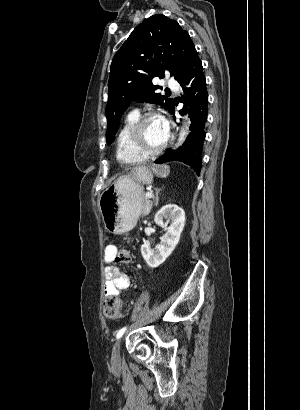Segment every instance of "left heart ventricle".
<instances>
[{"label": "left heart ventricle", "mask_w": 300, "mask_h": 410, "mask_svg": "<svg viewBox=\"0 0 300 410\" xmlns=\"http://www.w3.org/2000/svg\"><path fill=\"white\" fill-rule=\"evenodd\" d=\"M168 134L163 130L160 120L153 118L146 122L143 128V138L146 146L156 148L161 146Z\"/></svg>", "instance_id": "1"}]
</instances>
